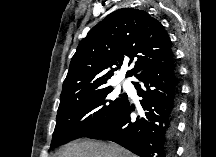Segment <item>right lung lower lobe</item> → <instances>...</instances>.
<instances>
[{
	"mask_svg": "<svg viewBox=\"0 0 216 157\" xmlns=\"http://www.w3.org/2000/svg\"><path fill=\"white\" fill-rule=\"evenodd\" d=\"M136 78L141 113L132 115L127 99L111 121L86 137L113 141L139 157H173L180 89L172 50Z\"/></svg>",
	"mask_w": 216,
	"mask_h": 157,
	"instance_id": "right-lung-lower-lobe-1",
	"label": "right lung lower lobe"
}]
</instances>
